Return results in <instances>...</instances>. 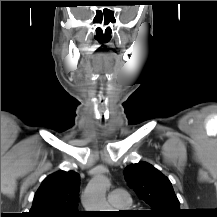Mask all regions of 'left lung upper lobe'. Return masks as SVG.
Segmentation results:
<instances>
[{
    "label": "left lung upper lobe",
    "instance_id": "obj_1",
    "mask_svg": "<svg viewBox=\"0 0 217 217\" xmlns=\"http://www.w3.org/2000/svg\"><path fill=\"white\" fill-rule=\"evenodd\" d=\"M127 184L149 204L151 217H180V202L170 180L146 162L129 165L124 170Z\"/></svg>",
    "mask_w": 217,
    "mask_h": 217
}]
</instances>
